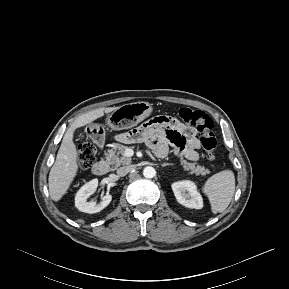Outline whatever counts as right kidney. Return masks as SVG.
I'll use <instances>...</instances> for the list:
<instances>
[{"label":"right kidney","mask_w":289,"mask_h":289,"mask_svg":"<svg viewBox=\"0 0 289 289\" xmlns=\"http://www.w3.org/2000/svg\"><path fill=\"white\" fill-rule=\"evenodd\" d=\"M98 186V180L93 179L86 184H84L76 193L75 196V206L76 208L85 213L93 214L103 210L112 200V196L106 194L100 203L95 201H87L90 195H92Z\"/></svg>","instance_id":"right-kidney-1"}]
</instances>
